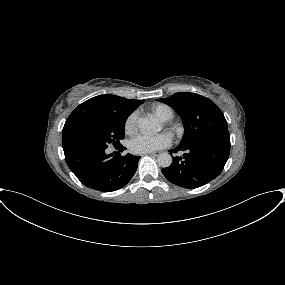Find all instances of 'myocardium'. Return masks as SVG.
<instances>
[{
	"label": "myocardium",
	"instance_id": "f54148a6",
	"mask_svg": "<svg viewBox=\"0 0 285 285\" xmlns=\"http://www.w3.org/2000/svg\"><path fill=\"white\" fill-rule=\"evenodd\" d=\"M164 125L170 132L179 133V128L177 127V125H175L169 121H165Z\"/></svg>",
	"mask_w": 285,
	"mask_h": 285
}]
</instances>
